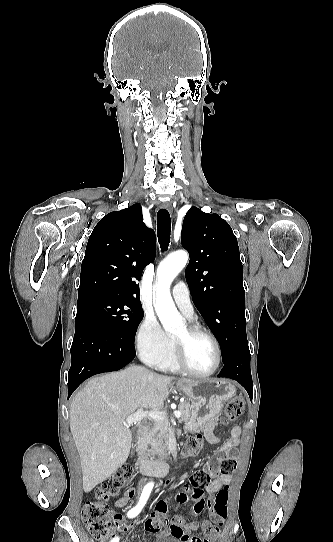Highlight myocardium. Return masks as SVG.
Wrapping results in <instances>:
<instances>
[{
	"instance_id": "obj_1",
	"label": "myocardium",
	"mask_w": 333,
	"mask_h": 542,
	"mask_svg": "<svg viewBox=\"0 0 333 542\" xmlns=\"http://www.w3.org/2000/svg\"><path fill=\"white\" fill-rule=\"evenodd\" d=\"M187 329H188L189 334L206 336L213 343V345L215 347V351H216L215 365L210 371L204 372V373H198V372H195V371L191 370L189 368L187 362H186V359H185V352H184L183 345L180 342H178L177 340L172 339L171 340V353H172V357H173L175 363L177 364V366H178V368L180 370H182L184 373H186V374H188L190 376H193V377L206 378V377L214 375L218 371V369H219V367L221 365V361H222V352H221V347H220L219 341L217 340V338L215 337V335L211 331L207 330L206 328H203L200 325L191 324V325H189L187 327Z\"/></svg>"
}]
</instances>
